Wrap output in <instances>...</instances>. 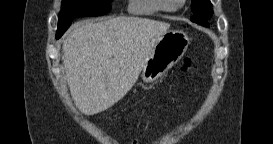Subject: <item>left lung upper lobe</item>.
Here are the masks:
<instances>
[{"instance_id": "1", "label": "left lung upper lobe", "mask_w": 273, "mask_h": 144, "mask_svg": "<svg viewBox=\"0 0 273 144\" xmlns=\"http://www.w3.org/2000/svg\"><path fill=\"white\" fill-rule=\"evenodd\" d=\"M211 4L209 0H192V10L194 16L191 17V20H195L197 17L212 13Z\"/></svg>"}]
</instances>
